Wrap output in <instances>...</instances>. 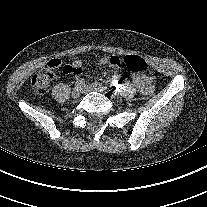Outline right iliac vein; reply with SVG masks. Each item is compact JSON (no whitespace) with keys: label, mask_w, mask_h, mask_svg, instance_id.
<instances>
[{"label":"right iliac vein","mask_w":207,"mask_h":207,"mask_svg":"<svg viewBox=\"0 0 207 207\" xmlns=\"http://www.w3.org/2000/svg\"><path fill=\"white\" fill-rule=\"evenodd\" d=\"M71 95H72L73 98L80 97V95H81V88L78 87V86L74 87L73 90H72V94Z\"/></svg>","instance_id":"63e3f726"}]
</instances>
